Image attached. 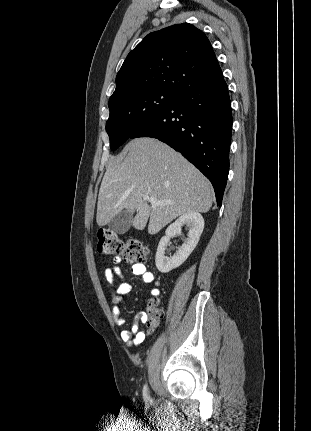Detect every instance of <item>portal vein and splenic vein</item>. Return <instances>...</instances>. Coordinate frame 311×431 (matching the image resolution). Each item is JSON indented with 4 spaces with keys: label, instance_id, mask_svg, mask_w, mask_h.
<instances>
[{
    "label": "portal vein and splenic vein",
    "instance_id": "obj_1",
    "mask_svg": "<svg viewBox=\"0 0 311 431\" xmlns=\"http://www.w3.org/2000/svg\"><path fill=\"white\" fill-rule=\"evenodd\" d=\"M143 200H147L152 206H168V204H171V202H158L156 198H150V196H143Z\"/></svg>",
    "mask_w": 311,
    "mask_h": 431
}]
</instances>
